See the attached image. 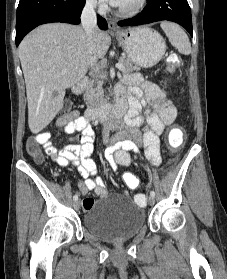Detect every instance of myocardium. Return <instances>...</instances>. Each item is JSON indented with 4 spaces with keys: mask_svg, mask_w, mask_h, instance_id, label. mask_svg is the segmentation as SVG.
Returning <instances> with one entry per match:
<instances>
[{
    "mask_svg": "<svg viewBox=\"0 0 227 279\" xmlns=\"http://www.w3.org/2000/svg\"><path fill=\"white\" fill-rule=\"evenodd\" d=\"M147 0H137L135 5L130 8L117 6V13L123 17H132L139 14L146 6Z\"/></svg>",
    "mask_w": 227,
    "mask_h": 279,
    "instance_id": "myocardium-1",
    "label": "myocardium"
}]
</instances>
